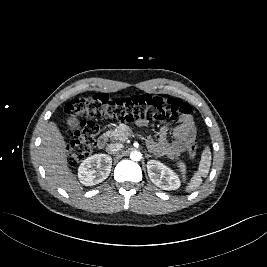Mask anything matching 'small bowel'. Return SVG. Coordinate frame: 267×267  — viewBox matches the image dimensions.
Wrapping results in <instances>:
<instances>
[{
  "label": "small bowel",
  "instance_id": "small-bowel-1",
  "mask_svg": "<svg viewBox=\"0 0 267 267\" xmlns=\"http://www.w3.org/2000/svg\"><path fill=\"white\" fill-rule=\"evenodd\" d=\"M144 121H139L138 125H144ZM173 140L168 138V128L163 126L159 132L157 140L147 138L148 148L160 156L176 157L181 155L196 137V126L193 118L188 115L181 118L180 123L174 128Z\"/></svg>",
  "mask_w": 267,
  "mask_h": 267
}]
</instances>
